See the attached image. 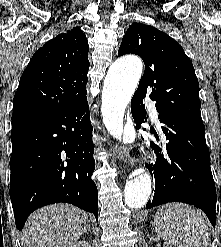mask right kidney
Wrapping results in <instances>:
<instances>
[{
    "label": "right kidney",
    "mask_w": 221,
    "mask_h": 247,
    "mask_svg": "<svg viewBox=\"0 0 221 247\" xmlns=\"http://www.w3.org/2000/svg\"><path fill=\"white\" fill-rule=\"evenodd\" d=\"M72 247H91V246L86 241H79V242L75 243Z\"/></svg>",
    "instance_id": "ca27d5eb"
}]
</instances>
